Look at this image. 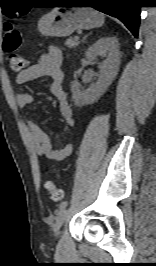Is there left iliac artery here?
I'll return each instance as SVG.
<instances>
[{
    "label": "left iliac artery",
    "mask_w": 156,
    "mask_h": 266,
    "mask_svg": "<svg viewBox=\"0 0 156 266\" xmlns=\"http://www.w3.org/2000/svg\"><path fill=\"white\" fill-rule=\"evenodd\" d=\"M67 205H68V202L67 201L61 202L60 205H59V210L64 209Z\"/></svg>",
    "instance_id": "44dca946"
}]
</instances>
